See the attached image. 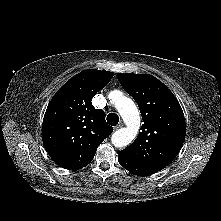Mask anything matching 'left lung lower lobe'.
<instances>
[{
    "mask_svg": "<svg viewBox=\"0 0 221 221\" xmlns=\"http://www.w3.org/2000/svg\"><path fill=\"white\" fill-rule=\"evenodd\" d=\"M118 161L125 169L138 176H148L158 172V170L142 165L120 152H118Z\"/></svg>",
    "mask_w": 221,
    "mask_h": 221,
    "instance_id": "0a47b994",
    "label": "left lung lower lobe"
}]
</instances>
